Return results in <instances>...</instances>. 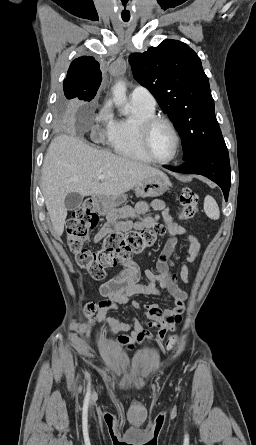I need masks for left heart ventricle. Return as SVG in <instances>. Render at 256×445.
I'll list each match as a JSON object with an SVG mask.
<instances>
[{
	"label": "left heart ventricle",
	"instance_id": "left-heart-ventricle-1",
	"mask_svg": "<svg viewBox=\"0 0 256 445\" xmlns=\"http://www.w3.org/2000/svg\"><path fill=\"white\" fill-rule=\"evenodd\" d=\"M154 155L160 159H169L175 151V138L172 131L165 124L154 127L150 138Z\"/></svg>",
	"mask_w": 256,
	"mask_h": 445
}]
</instances>
